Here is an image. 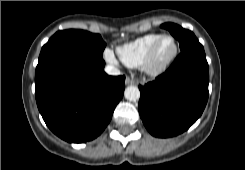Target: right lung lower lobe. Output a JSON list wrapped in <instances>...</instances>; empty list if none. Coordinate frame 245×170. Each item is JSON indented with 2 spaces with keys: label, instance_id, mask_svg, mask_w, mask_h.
Masks as SVG:
<instances>
[{
  "label": "right lung lower lobe",
  "instance_id": "1",
  "mask_svg": "<svg viewBox=\"0 0 245 170\" xmlns=\"http://www.w3.org/2000/svg\"><path fill=\"white\" fill-rule=\"evenodd\" d=\"M103 58L69 54L35 74L38 109L50 130L70 143L98 137L125 89L124 76L104 72Z\"/></svg>",
  "mask_w": 245,
  "mask_h": 170
}]
</instances>
